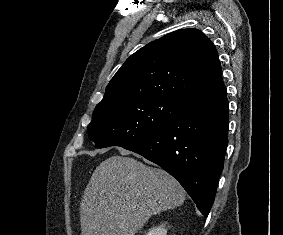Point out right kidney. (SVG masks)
I'll return each mask as SVG.
<instances>
[{
  "instance_id": "ca27d5eb",
  "label": "right kidney",
  "mask_w": 283,
  "mask_h": 235,
  "mask_svg": "<svg viewBox=\"0 0 283 235\" xmlns=\"http://www.w3.org/2000/svg\"><path fill=\"white\" fill-rule=\"evenodd\" d=\"M146 235H167V230L163 227L151 229Z\"/></svg>"
}]
</instances>
